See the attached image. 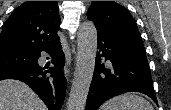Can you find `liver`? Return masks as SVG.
<instances>
[{"instance_id":"6515ba94","label":"liver","mask_w":171,"mask_h":110,"mask_svg":"<svg viewBox=\"0 0 171 110\" xmlns=\"http://www.w3.org/2000/svg\"><path fill=\"white\" fill-rule=\"evenodd\" d=\"M0 110H47L42 100L25 83L0 81Z\"/></svg>"}]
</instances>
